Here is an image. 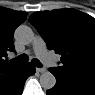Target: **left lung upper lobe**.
Listing matches in <instances>:
<instances>
[{"instance_id":"5c2ea615","label":"left lung upper lobe","mask_w":95,"mask_h":95,"mask_svg":"<svg viewBox=\"0 0 95 95\" xmlns=\"http://www.w3.org/2000/svg\"><path fill=\"white\" fill-rule=\"evenodd\" d=\"M29 22L38 30L49 50L61 55L56 72L95 80V19L74 9L33 13Z\"/></svg>"}]
</instances>
